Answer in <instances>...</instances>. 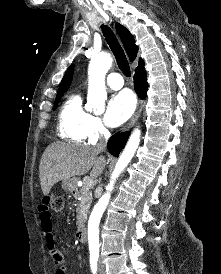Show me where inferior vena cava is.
<instances>
[{"instance_id":"1","label":"inferior vena cava","mask_w":221,"mask_h":274,"mask_svg":"<svg viewBox=\"0 0 221 274\" xmlns=\"http://www.w3.org/2000/svg\"><path fill=\"white\" fill-rule=\"evenodd\" d=\"M109 136H110V132L108 130H105V138L102 142L97 144L96 148L99 149L100 151L104 150L106 148V143Z\"/></svg>"}]
</instances>
